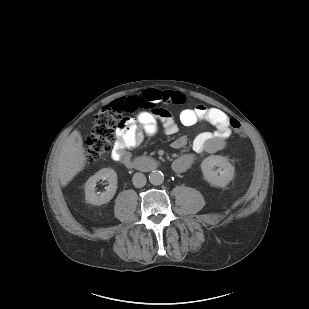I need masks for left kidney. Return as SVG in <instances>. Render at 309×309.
I'll return each instance as SVG.
<instances>
[{
    "instance_id": "5707ae66",
    "label": "left kidney",
    "mask_w": 309,
    "mask_h": 309,
    "mask_svg": "<svg viewBox=\"0 0 309 309\" xmlns=\"http://www.w3.org/2000/svg\"><path fill=\"white\" fill-rule=\"evenodd\" d=\"M201 170L211 186L224 188L233 179L235 168L225 157L211 155L202 161Z\"/></svg>"
}]
</instances>
